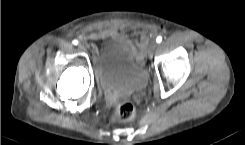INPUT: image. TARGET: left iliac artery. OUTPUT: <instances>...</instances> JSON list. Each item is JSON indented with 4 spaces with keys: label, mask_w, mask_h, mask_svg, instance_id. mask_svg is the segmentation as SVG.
I'll list each match as a JSON object with an SVG mask.
<instances>
[{
    "label": "left iliac artery",
    "mask_w": 245,
    "mask_h": 145,
    "mask_svg": "<svg viewBox=\"0 0 245 145\" xmlns=\"http://www.w3.org/2000/svg\"><path fill=\"white\" fill-rule=\"evenodd\" d=\"M162 41V37L161 36H158L157 38H156V42L157 43H160Z\"/></svg>",
    "instance_id": "1"
}]
</instances>
